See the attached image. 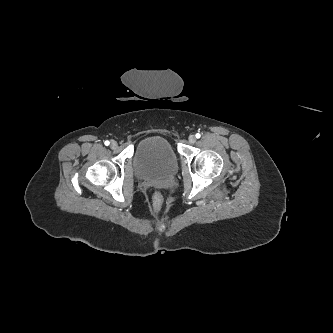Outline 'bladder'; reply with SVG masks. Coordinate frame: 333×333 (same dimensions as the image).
Here are the masks:
<instances>
[{"label":"bladder","mask_w":333,"mask_h":333,"mask_svg":"<svg viewBox=\"0 0 333 333\" xmlns=\"http://www.w3.org/2000/svg\"><path fill=\"white\" fill-rule=\"evenodd\" d=\"M178 170L175 151L167 139L153 135L142 139L134 153V171L140 179L173 177Z\"/></svg>","instance_id":"31cf9c89"}]
</instances>
